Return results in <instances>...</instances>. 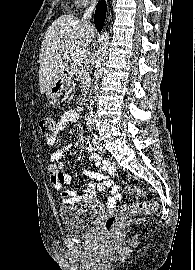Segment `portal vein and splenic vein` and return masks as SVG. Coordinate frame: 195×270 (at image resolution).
<instances>
[{"mask_svg":"<svg viewBox=\"0 0 195 270\" xmlns=\"http://www.w3.org/2000/svg\"><path fill=\"white\" fill-rule=\"evenodd\" d=\"M73 56L76 58L77 61H83L87 58L84 50L75 52Z\"/></svg>","mask_w":195,"mask_h":270,"instance_id":"18ae733b","label":"portal vein and splenic vein"}]
</instances>
